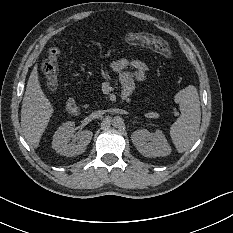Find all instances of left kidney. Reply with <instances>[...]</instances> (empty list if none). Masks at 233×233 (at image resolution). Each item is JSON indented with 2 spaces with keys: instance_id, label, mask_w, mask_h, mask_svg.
<instances>
[{
  "instance_id": "1",
  "label": "left kidney",
  "mask_w": 233,
  "mask_h": 233,
  "mask_svg": "<svg viewBox=\"0 0 233 233\" xmlns=\"http://www.w3.org/2000/svg\"><path fill=\"white\" fill-rule=\"evenodd\" d=\"M131 140L137 150L145 157H164L171 153L164 134L161 130L150 133L146 129H139L132 133Z\"/></svg>"
}]
</instances>
